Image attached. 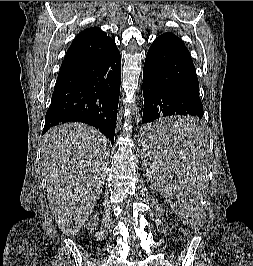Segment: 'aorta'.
Masks as SVG:
<instances>
[{
	"mask_svg": "<svg viewBox=\"0 0 253 266\" xmlns=\"http://www.w3.org/2000/svg\"><path fill=\"white\" fill-rule=\"evenodd\" d=\"M136 109H137V108L134 106V107H133V110L135 111Z\"/></svg>",
	"mask_w": 253,
	"mask_h": 266,
	"instance_id": "1",
	"label": "aorta"
}]
</instances>
